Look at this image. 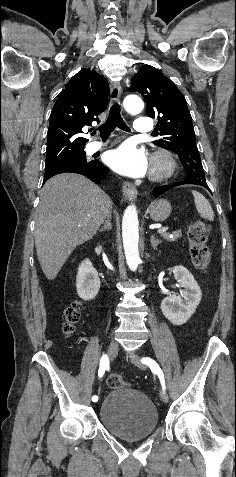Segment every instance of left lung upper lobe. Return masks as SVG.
I'll list each match as a JSON object with an SVG mask.
<instances>
[{
    "instance_id": "obj_1",
    "label": "left lung upper lobe",
    "mask_w": 236,
    "mask_h": 477,
    "mask_svg": "<svg viewBox=\"0 0 236 477\" xmlns=\"http://www.w3.org/2000/svg\"><path fill=\"white\" fill-rule=\"evenodd\" d=\"M131 91L145 99L147 116L159 118L154 144L175 152L187 173L186 181L206 183L204 169L196 147L191 114L183 94L160 70L145 65L131 81Z\"/></svg>"
}]
</instances>
